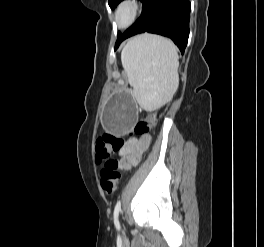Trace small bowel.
Instances as JSON below:
<instances>
[{"label": "small bowel", "instance_id": "small-bowel-1", "mask_svg": "<svg viewBox=\"0 0 264 247\" xmlns=\"http://www.w3.org/2000/svg\"><path fill=\"white\" fill-rule=\"evenodd\" d=\"M150 138L142 136L139 140L128 142L124 147V156L121 163L124 170H130L142 159L149 146Z\"/></svg>", "mask_w": 264, "mask_h": 247}]
</instances>
